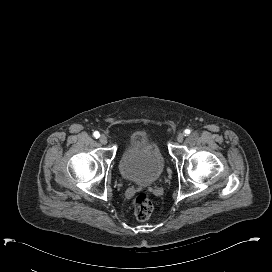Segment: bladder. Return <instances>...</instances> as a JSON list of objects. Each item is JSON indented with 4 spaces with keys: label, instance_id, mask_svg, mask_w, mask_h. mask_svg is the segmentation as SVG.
<instances>
[{
    "label": "bladder",
    "instance_id": "1",
    "mask_svg": "<svg viewBox=\"0 0 272 272\" xmlns=\"http://www.w3.org/2000/svg\"><path fill=\"white\" fill-rule=\"evenodd\" d=\"M164 157L158 145L145 133H133L120 156L122 176L134 183L151 185L162 175Z\"/></svg>",
    "mask_w": 272,
    "mask_h": 272
}]
</instances>
